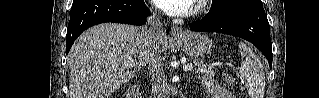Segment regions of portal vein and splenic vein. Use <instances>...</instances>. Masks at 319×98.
<instances>
[{"mask_svg": "<svg viewBox=\"0 0 319 98\" xmlns=\"http://www.w3.org/2000/svg\"><path fill=\"white\" fill-rule=\"evenodd\" d=\"M193 69V65L192 64H184L183 66V70L185 72L191 71Z\"/></svg>", "mask_w": 319, "mask_h": 98, "instance_id": "obj_1", "label": "portal vein and splenic vein"}]
</instances>
